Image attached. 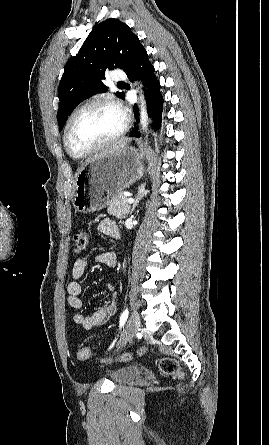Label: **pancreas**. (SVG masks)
Masks as SVG:
<instances>
[{"label": "pancreas", "instance_id": "obj_1", "mask_svg": "<svg viewBox=\"0 0 269 445\" xmlns=\"http://www.w3.org/2000/svg\"><path fill=\"white\" fill-rule=\"evenodd\" d=\"M127 199V196L119 194L109 202L107 212L121 219L126 218L131 209V206L127 203Z\"/></svg>", "mask_w": 269, "mask_h": 445}]
</instances>
